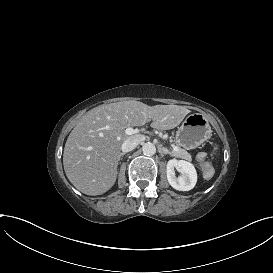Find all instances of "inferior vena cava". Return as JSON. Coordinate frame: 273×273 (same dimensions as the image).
Segmentation results:
<instances>
[{"label":"inferior vena cava","instance_id":"1","mask_svg":"<svg viewBox=\"0 0 273 273\" xmlns=\"http://www.w3.org/2000/svg\"><path fill=\"white\" fill-rule=\"evenodd\" d=\"M142 136H136V137H131L129 139H127L126 141L123 142L122 144V152L126 153L129 151H132L133 149H135L137 147V145L142 141Z\"/></svg>","mask_w":273,"mask_h":273}]
</instances>
